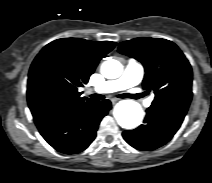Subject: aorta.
<instances>
[{
    "instance_id": "1",
    "label": "aorta",
    "mask_w": 212,
    "mask_h": 183,
    "mask_svg": "<svg viewBox=\"0 0 212 183\" xmlns=\"http://www.w3.org/2000/svg\"><path fill=\"white\" fill-rule=\"evenodd\" d=\"M122 72L123 66L117 60L109 59L101 65V73L107 79L118 78ZM114 117L122 128L134 129L141 123L143 111L137 102L123 100L115 106Z\"/></svg>"
}]
</instances>
